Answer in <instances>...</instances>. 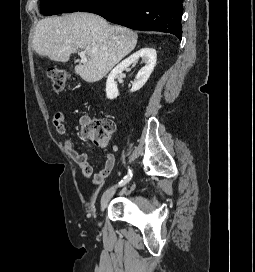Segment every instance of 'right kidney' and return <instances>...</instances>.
Listing matches in <instances>:
<instances>
[{
	"mask_svg": "<svg viewBox=\"0 0 255 272\" xmlns=\"http://www.w3.org/2000/svg\"><path fill=\"white\" fill-rule=\"evenodd\" d=\"M139 58H141L142 61L146 63V65L138 72L130 91L135 92L144 86L156 65L157 58L156 50L149 47H145L136 51L121 63H119L110 72L106 82V97L108 99H115L119 95L117 84L115 82L116 77L121 74L124 69L134 64Z\"/></svg>",
	"mask_w": 255,
	"mask_h": 272,
	"instance_id": "obj_1",
	"label": "right kidney"
}]
</instances>
